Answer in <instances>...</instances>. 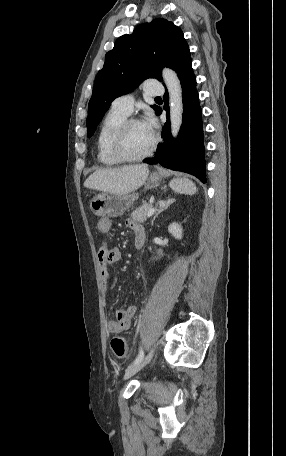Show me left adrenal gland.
Masks as SVG:
<instances>
[{
	"label": "left adrenal gland",
	"mask_w": 286,
	"mask_h": 456,
	"mask_svg": "<svg viewBox=\"0 0 286 456\" xmlns=\"http://www.w3.org/2000/svg\"><path fill=\"white\" fill-rule=\"evenodd\" d=\"M175 202V199H170L168 198L167 200H159L158 201V205H159V209H157L152 221H151V225L153 226L154 224V221L156 219V217L161 213L163 212L165 209H167L171 204H173Z\"/></svg>",
	"instance_id": "a2214340"
}]
</instances>
